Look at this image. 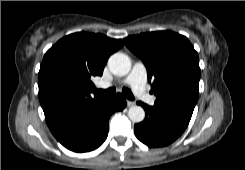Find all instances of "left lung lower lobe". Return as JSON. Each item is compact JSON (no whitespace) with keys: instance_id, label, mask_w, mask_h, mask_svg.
I'll return each mask as SVG.
<instances>
[{"instance_id":"obj_1","label":"left lung lower lobe","mask_w":245,"mask_h":170,"mask_svg":"<svg viewBox=\"0 0 245 170\" xmlns=\"http://www.w3.org/2000/svg\"><path fill=\"white\" fill-rule=\"evenodd\" d=\"M145 110V119L136 124L135 135L150 147H164L174 142L187 128L191 119L190 111L155 103L148 106L137 102Z\"/></svg>"}]
</instances>
